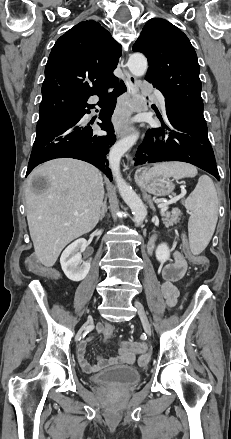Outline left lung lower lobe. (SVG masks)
Masks as SVG:
<instances>
[{
	"label": "left lung lower lobe",
	"mask_w": 231,
	"mask_h": 439,
	"mask_svg": "<svg viewBox=\"0 0 231 439\" xmlns=\"http://www.w3.org/2000/svg\"><path fill=\"white\" fill-rule=\"evenodd\" d=\"M165 104L167 123L160 119L162 128L147 131L134 158L135 165L182 161L209 172L219 180L205 120L195 117L166 98Z\"/></svg>",
	"instance_id": "obj_1"
}]
</instances>
